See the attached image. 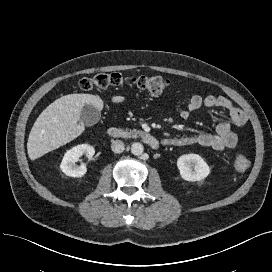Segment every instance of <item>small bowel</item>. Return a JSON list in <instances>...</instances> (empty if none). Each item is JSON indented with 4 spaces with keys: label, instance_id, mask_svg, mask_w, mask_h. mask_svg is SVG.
<instances>
[{
    "label": "small bowel",
    "instance_id": "c3829d8e",
    "mask_svg": "<svg viewBox=\"0 0 272 272\" xmlns=\"http://www.w3.org/2000/svg\"><path fill=\"white\" fill-rule=\"evenodd\" d=\"M202 106L223 109L227 112L229 119L218 123L214 133L167 137L163 139V144L166 146H188L197 144L215 150L234 148L238 143V137L232 128L245 125L247 122L246 114L224 96L212 94L202 96L196 93L193 94L186 105L180 109L179 115L183 120H188L191 114Z\"/></svg>",
    "mask_w": 272,
    "mask_h": 272
}]
</instances>
